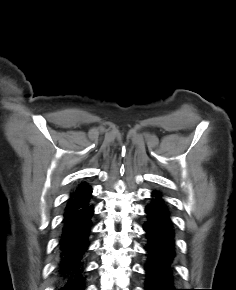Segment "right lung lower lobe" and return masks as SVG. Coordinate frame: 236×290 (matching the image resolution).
Instances as JSON below:
<instances>
[{
  "instance_id": "1",
  "label": "right lung lower lobe",
  "mask_w": 236,
  "mask_h": 290,
  "mask_svg": "<svg viewBox=\"0 0 236 290\" xmlns=\"http://www.w3.org/2000/svg\"><path fill=\"white\" fill-rule=\"evenodd\" d=\"M94 207L89 200L68 210L62 221L59 240L58 275L62 286L58 290H84L83 260L90 246Z\"/></svg>"
}]
</instances>
